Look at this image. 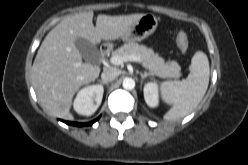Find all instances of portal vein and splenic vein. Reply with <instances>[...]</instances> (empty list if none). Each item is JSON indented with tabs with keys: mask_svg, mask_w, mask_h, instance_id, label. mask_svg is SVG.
Returning <instances> with one entry per match:
<instances>
[{
	"mask_svg": "<svg viewBox=\"0 0 248 165\" xmlns=\"http://www.w3.org/2000/svg\"><path fill=\"white\" fill-rule=\"evenodd\" d=\"M134 61L137 63H141L140 57L137 55H126V56H112L110 58V62L114 65H121L123 62Z\"/></svg>",
	"mask_w": 248,
	"mask_h": 165,
	"instance_id": "portal-vein-and-splenic-vein-1",
	"label": "portal vein and splenic vein"
}]
</instances>
